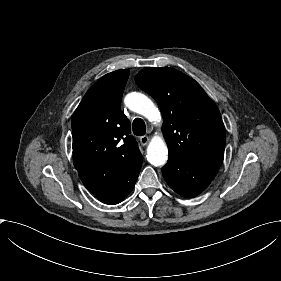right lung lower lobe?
<instances>
[{
    "label": "right lung lower lobe",
    "instance_id": "98d812e1",
    "mask_svg": "<svg viewBox=\"0 0 281 281\" xmlns=\"http://www.w3.org/2000/svg\"><path fill=\"white\" fill-rule=\"evenodd\" d=\"M142 166V156L139 157L112 186L95 195L105 204H117L132 191Z\"/></svg>",
    "mask_w": 281,
    "mask_h": 281
}]
</instances>
